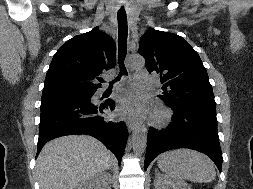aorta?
<instances>
[{"instance_id":"aorta-1","label":"aorta","mask_w":253,"mask_h":189,"mask_svg":"<svg viewBox=\"0 0 253 189\" xmlns=\"http://www.w3.org/2000/svg\"><path fill=\"white\" fill-rule=\"evenodd\" d=\"M145 64L144 59L141 56H131L129 59V67L137 69L143 67ZM147 145V129L145 125L139 124L132 134V146L136 154L140 155L145 152Z\"/></svg>"}]
</instances>
